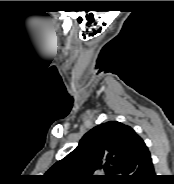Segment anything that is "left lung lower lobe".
Masks as SVG:
<instances>
[{
    "label": "left lung lower lobe",
    "mask_w": 174,
    "mask_h": 184,
    "mask_svg": "<svg viewBox=\"0 0 174 184\" xmlns=\"http://www.w3.org/2000/svg\"><path fill=\"white\" fill-rule=\"evenodd\" d=\"M154 176L150 152L141 139L128 164L126 177L121 183L149 184L152 183Z\"/></svg>",
    "instance_id": "obj_1"
}]
</instances>
